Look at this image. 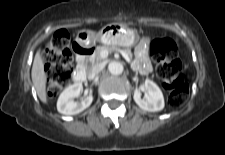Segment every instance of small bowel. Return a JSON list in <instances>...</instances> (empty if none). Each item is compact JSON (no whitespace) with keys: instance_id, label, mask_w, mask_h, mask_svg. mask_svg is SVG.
<instances>
[{"instance_id":"small-bowel-1","label":"small bowel","mask_w":225,"mask_h":155,"mask_svg":"<svg viewBox=\"0 0 225 155\" xmlns=\"http://www.w3.org/2000/svg\"><path fill=\"white\" fill-rule=\"evenodd\" d=\"M136 68L141 72V73H148L151 71V62L148 57L147 53V46L145 42H141L136 50H135V62H134Z\"/></svg>"}]
</instances>
